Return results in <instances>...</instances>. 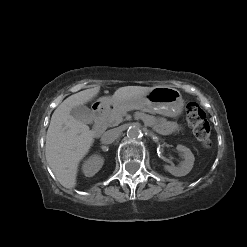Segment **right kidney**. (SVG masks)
Returning a JSON list of instances; mask_svg holds the SVG:
<instances>
[{
    "label": "right kidney",
    "instance_id": "ca27d5eb",
    "mask_svg": "<svg viewBox=\"0 0 247 247\" xmlns=\"http://www.w3.org/2000/svg\"><path fill=\"white\" fill-rule=\"evenodd\" d=\"M104 159L100 155H92L83 164L82 170L86 177L94 176L103 166Z\"/></svg>",
    "mask_w": 247,
    "mask_h": 247
}]
</instances>
